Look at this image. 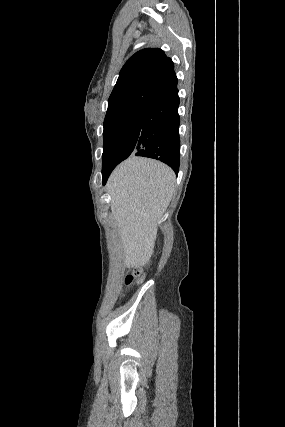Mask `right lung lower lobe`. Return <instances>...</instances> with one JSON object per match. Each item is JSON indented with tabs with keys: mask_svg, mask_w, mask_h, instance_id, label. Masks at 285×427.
I'll use <instances>...</instances> for the list:
<instances>
[{
	"mask_svg": "<svg viewBox=\"0 0 285 427\" xmlns=\"http://www.w3.org/2000/svg\"><path fill=\"white\" fill-rule=\"evenodd\" d=\"M178 91L150 106L144 117L134 155L160 160L176 174L180 163ZM112 171L102 172L103 184Z\"/></svg>",
	"mask_w": 285,
	"mask_h": 427,
	"instance_id": "98d812e1",
	"label": "right lung lower lobe"
}]
</instances>
